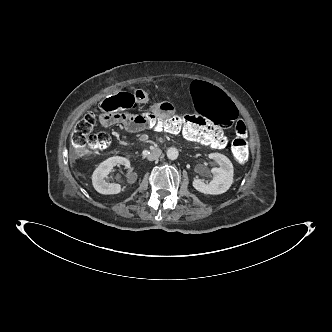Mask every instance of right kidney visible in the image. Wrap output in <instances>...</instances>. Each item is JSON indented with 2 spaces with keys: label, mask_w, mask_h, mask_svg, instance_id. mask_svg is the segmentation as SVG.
<instances>
[{
  "label": "right kidney",
  "mask_w": 332,
  "mask_h": 332,
  "mask_svg": "<svg viewBox=\"0 0 332 332\" xmlns=\"http://www.w3.org/2000/svg\"><path fill=\"white\" fill-rule=\"evenodd\" d=\"M116 165H124L129 168L130 161L124 157L113 156L100 163V165L94 170L92 183L94 189L100 194L110 195L120 193L121 186L119 184L109 183L106 180V177Z\"/></svg>",
  "instance_id": "obj_1"
}]
</instances>
